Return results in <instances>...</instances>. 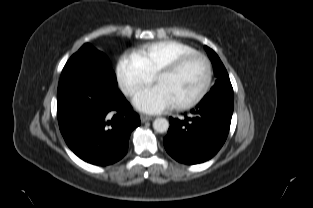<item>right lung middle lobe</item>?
<instances>
[{
    "instance_id": "dd1d6c3e",
    "label": "right lung middle lobe",
    "mask_w": 313,
    "mask_h": 208,
    "mask_svg": "<svg viewBox=\"0 0 313 208\" xmlns=\"http://www.w3.org/2000/svg\"><path fill=\"white\" fill-rule=\"evenodd\" d=\"M79 54H89L95 56L108 65V60L106 56L88 43L84 44L77 53L72 55L66 65H70L72 62H74L75 59L78 58Z\"/></svg>"
}]
</instances>
